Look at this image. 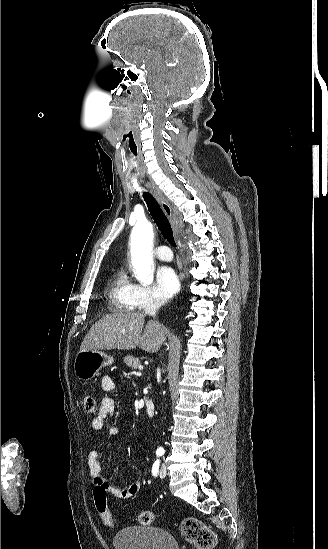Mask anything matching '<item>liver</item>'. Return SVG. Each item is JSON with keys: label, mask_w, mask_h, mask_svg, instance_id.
I'll use <instances>...</instances> for the list:
<instances>
[{"label": "liver", "mask_w": 328, "mask_h": 549, "mask_svg": "<svg viewBox=\"0 0 328 549\" xmlns=\"http://www.w3.org/2000/svg\"><path fill=\"white\" fill-rule=\"evenodd\" d=\"M144 321L143 313H110L92 325L80 351H130L139 347L147 353H157L165 339V327L159 321H147L144 329Z\"/></svg>", "instance_id": "obj_1"}]
</instances>
